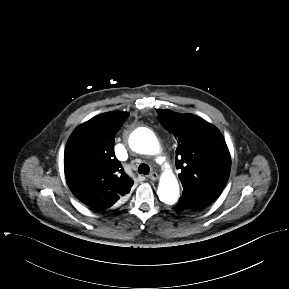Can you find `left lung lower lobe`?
I'll return each instance as SVG.
<instances>
[{
	"label": "left lung lower lobe",
	"instance_id": "left-lung-lower-lobe-1",
	"mask_svg": "<svg viewBox=\"0 0 289 289\" xmlns=\"http://www.w3.org/2000/svg\"><path fill=\"white\" fill-rule=\"evenodd\" d=\"M212 202L200 197L182 195L173 209L177 213L194 214L205 209Z\"/></svg>",
	"mask_w": 289,
	"mask_h": 289
}]
</instances>
